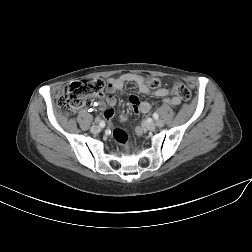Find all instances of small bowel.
Instances as JSON below:
<instances>
[{"instance_id": "obj_1", "label": "small bowel", "mask_w": 252, "mask_h": 252, "mask_svg": "<svg viewBox=\"0 0 252 252\" xmlns=\"http://www.w3.org/2000/svg\"><path fill=\"white\" fill-rule=\"evenodd\" d=\"M134 83L140 93L149 94L150 89L147 87L144 81V77L135 73H125L117 78H110L107 81V95H100L97 102L98 108L104 112V115L107 119H110L114 116L115 110L114 107L117 103L116 98L113 96L115 92H122L125 84ZM170 94L167 88H159L154 92V95L159 98H165V103L178 106L181 103V100L177 96L168 97ZM131 103L138 112L148 113L151 109V105L146 101H141L136 96L131 97ZM122 121V115L120 116Z\"/></svg>"}]
</instances>
